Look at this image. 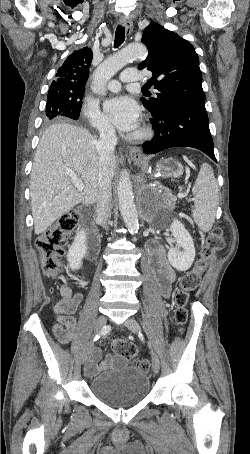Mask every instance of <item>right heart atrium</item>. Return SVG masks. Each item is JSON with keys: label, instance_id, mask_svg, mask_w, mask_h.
Masks as SVG:
<instances>
[{"label": "right heart atrium", "instance_id": "1", "mask_svg": "<svg viewBox=\"0 0 250 454\" xmlns=\"http://www.w3.org/2000/svg\"><path fill=\"white\" fill-rule=\"evenodd\" d=\"M82 114L93 129L104 134L112 132L113 129L110 122L94 104L86 102L83 105Z\"/></svg>", "mask_w": 250, "mask_h": 454}]
</instances>
